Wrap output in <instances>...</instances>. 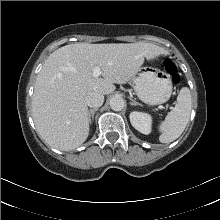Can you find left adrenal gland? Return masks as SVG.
I'll list each match as a JSON object with an SVG mask.
<instances>
[{"instance_id":"obj_1","label":"left adrenal gland","mask_w":220,"mask_h":220,"mask_svg":"<svg viewBox=\"0 0 220 220\" xmlns=\"http://www.w3.org/2000/svg\"><path fill=\"white\" fill-rule=\"evenodd\" d=\"M131 99V105H140L141 106V104L140 103H138V102H136L135 100H133L132 98H130Z\"/></svg>"}]
</instances>
